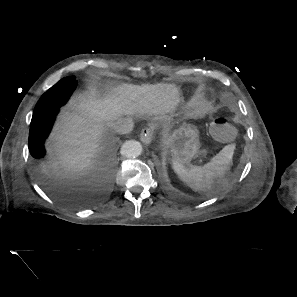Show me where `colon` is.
Listing matches in <instances>:
<instances>
[{
  "label": "colon",
  "mask_w": 297,
  "mask_h": 297,
  "mask_svg": "<svg viewBox=\"0 0 297 297\" xmlns=\"http://www.w3.org/2000/svg\"><path fill=\"white\" fill-rule=\"evenodd\" d=\"M212 134L220 140H229L234 136L233 126L224 118L217 117L211 123Z\"/></svg>",
  "instance_id": "obj_1"
}]
</instances>
